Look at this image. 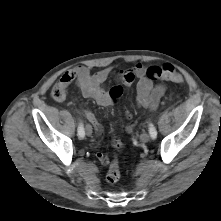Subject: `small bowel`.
<instances>
[{
    "mask_svg": "<svg viewBox=\"0 0 221 221\" xmlns=\"http://www.w3.org/2000/svg\"><path fill=\"white\" fill-rule=\"evenodd\" d=\"M146 71L147 69L144 64L137 63L134 68L122 71L118 80L126 85H131L136 81L137 104L149 110H155L166 88L162 84H154L151 82L147 78ZM111 72L112 67H105L95 73H91L87 66L79 65L64 73L59 82L67 89L72 82L76 81L77 86L85 98L94 100L100 106L108 107L117 101L113 98L111 89L106 90L103 87V83L108 79ZM83 114L94 126L99 144L103 135L101 124L92 110L85 108L83 109ZM127 117L131 118V114L127 113ZM132 127V124L127 126V131H131ZM118 148H122L121 142ZM95 156L103 166L109 165L110 159L105 153L97 151Z\"/></svg>",
    "mask_w": 221,
    "mask_h": 221,
    "instance_id": "1",
    "label": "small bowel"
}]
</instances>
